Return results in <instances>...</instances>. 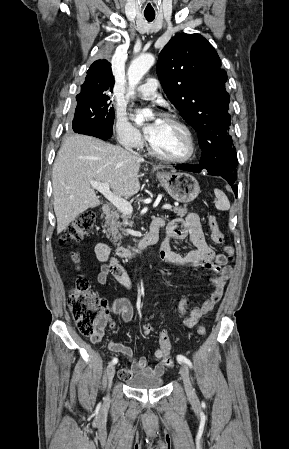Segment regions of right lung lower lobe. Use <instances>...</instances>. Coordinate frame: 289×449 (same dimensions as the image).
<instances>
[{"mask_svg": "<svg viewBox=\"0 0 289 449\" xmlns=\"http://www.w3.org/2000/svg\"><path fill=\"white\" fill-rule=\"evenodd\" d=\"M77 133L90 135V136H95V137H98V138L103 139V140H107L112 135V134L108 135V134H105V133H102V132H98V131H96V130H94L92 128H88V127H83Z\"/></svg>", "mask_w": 289, "mask_h": 449, "instance_id": "right-lung-lower-lobe-1", "label": "right lung lower lobe"}]
</instances>
